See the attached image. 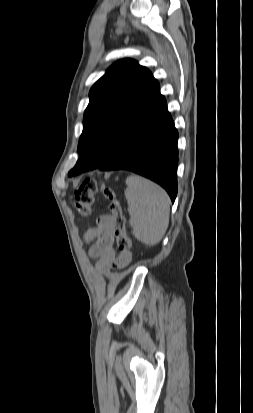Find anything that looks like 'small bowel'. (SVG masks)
Returning a JSON list of instances; mask_svg holds the SVG:
<instances>
[{
	"mask_svg": "<svg viewBox=\"0 0 253 413\" xmlns=\"http://www.w3.org/2000/svg\"><path fill=\"white\" fill-rule=\"evenodd\" d=\"M85 240L92 243L90 254L97 259L96 268L100 271L110 267L124 268L131 261L130 252H121L118 256L116 255L110 215L99 216L96 225L85 233Z\"/></svg>",
	"mask_w": 253,
	"mask_h": 413,
	"instance_id": "small-bowel-1",
	"label": "small bowel"
}]
</instances>
